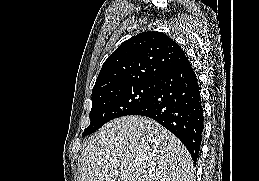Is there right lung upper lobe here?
<instances>
[{
	"mask_svg": "<svg viewBox=\"0 0 259 181\" xmlns=\"http://www.w3.org/2000/svg\"><path fill=\"white\" fill-rule=\"evenodd\" d=\"M187 60L180 46L160 32H143L123 42L104 62L92 90L154 83Z\"/></svg>",
	"mask_w": 259,
	"mask_h": 181,
	"instance_id": "right-lung-upper-lobe-1",
	"label": "right lung upper lobe"
}]
</instances>
